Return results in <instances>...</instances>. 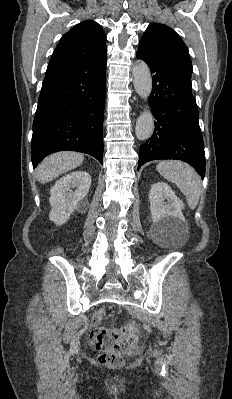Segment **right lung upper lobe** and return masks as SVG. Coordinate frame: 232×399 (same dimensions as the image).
<instances>
[{"label": "right lung upper lobe", "mask_w": 232, "mask_h": 399, "mask_svg": "<svg viewBox=\"0 0 232 399\" xmlns=\"http://www.w3.org/2000/svg\"><path fill=\"white\" fill-rule=\"evenodd\" d=\"M106 35L101 26L87 20L74 26L58 43L50 62L94 60L106 56Z\"/></svg>", "instance_id": "right-lung-upper-lobe-1"}]
</instances>
